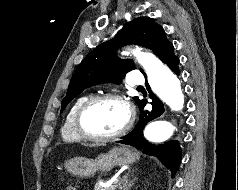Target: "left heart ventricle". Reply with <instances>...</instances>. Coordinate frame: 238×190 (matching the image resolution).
Listing matches in <instances>:
<instances>
[{
	"mask_svg": "<svg viewBox=\"0 0 238 190\" xmlns=\"http://www.w3.org/2000/svg\"><path fill=\"white\" fill-rule=\"evenodd\" d=\"M127 121V111L117 100H104L92 106L84 116V127L91 133L110 135Z\"/></svg>",
	"mask_w": 238,
	"mask_h": 190,
	"instance_id": "obj_1",
	"label": "left heart ventricle"
}]
</instances>
